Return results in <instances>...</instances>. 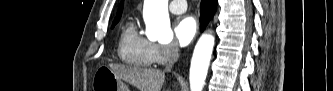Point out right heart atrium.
<instances>
[{"label":"right heart atrium","mask_w":333,"mask_h":91,"mask_svg":"<svg viewBox=\"0 0 333 91\" xmlns=\"http://www.w3.org/2000/svg\"><path fill=\"white\" fill-rule=\"evenodd\" d=\"M152 55L155 64L164 65L178 56V47L174 43L153 44Z\"/></svg>","instance_id":"right-heart-atrium-1"}]
</instances>
